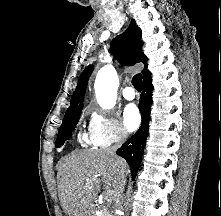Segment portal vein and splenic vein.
Returning a JSON list of instances; mask_svg holds the SVG:
<instances>
[{"instance_id":"1","label":"portal vein and splenic vein","mask_w":221,"mask_h":216,"mask_svg":"<svg viewBox=\"0 0 221 216\" xmlns=\"http://www.w3.org/2000/svg\"><path fill=\"white\" fill-rule=\"evenodd\" d=\"M104 196L107 201H111L115 196V192L112 190H108L107 192H105Z\"/></svg>"}]
</instances>
